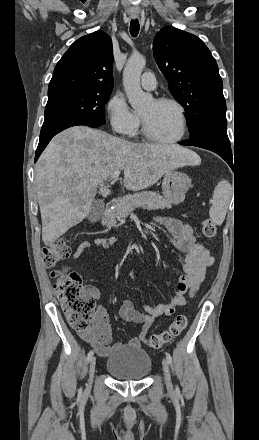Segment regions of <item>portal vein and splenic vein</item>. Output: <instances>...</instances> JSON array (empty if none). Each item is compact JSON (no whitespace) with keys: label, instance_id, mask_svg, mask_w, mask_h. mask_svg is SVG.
<instances>
[{"label":"portal vein and splenic vein","instance_id":"obj_1","mask_svg":"<svg viewBox=\"0 0 259 440\" xmlns=\"http://www.w3.org/2000/svg\"><path fill=\"white\" fill-rule=\"evenodd\" d=\"M119 176H120V171H115V172L110 174V178L113 179V180L118 179Z\"/></svg>","mask_w":259,"mask_h":440}]
</instances>
